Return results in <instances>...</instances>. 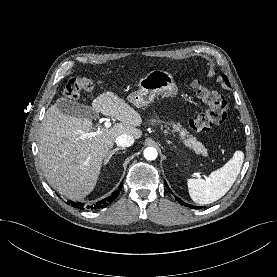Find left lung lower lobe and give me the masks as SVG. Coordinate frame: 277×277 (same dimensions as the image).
<instances>
[{"instance_id": "left-lung-lower-lobe-1", "label": "left lung lower lobe", "mask_w": 277, "mask_h": 277, "mask_svg": "<svg viewBox=\"0 0 277 277\" xmlns=\"http://www.w3.org/2000/svg\"><path fill=\"white\" fill-rule=\"evenodd\" d=\"M165 185H166V187H167L166 181H165ZM175 199H176V201H178L181 205H184V206H187V207H190V208H198V207H196V206H193V205L184 203V202H183L181 199H179L178 197H176Z\"/></svg>"}]
</instances>
